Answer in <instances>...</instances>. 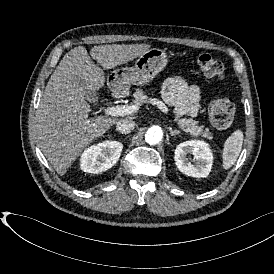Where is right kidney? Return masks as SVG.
<instances>
[{
	"label": "right kidney",
	"instance_id": "1",
	"mask_svg": "<svg viewBox=\"0 0 274 274\" xmlns=\"http://www.w3.org/2000/svg\"><path fill=\"white\" fill-rule=\"evenodd\" d=\"M122 145L116 141H107L90 147L81 157L84 172L99 174L113 167L119 160Z\"/></svg>",
	"mask_w": 274,
	"mask_h": 274
}]
</instances>
